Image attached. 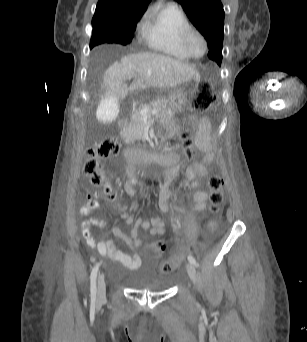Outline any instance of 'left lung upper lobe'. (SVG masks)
Segmentation results:
<instances>
[{
	"label": "left lung upper lobe",
	"mask_w": 307,
	"mask_h": 342,
	"mask_svg": "<svg viewBox=\"0 0 307 342\" xmlns=\"http://www.w3.org/2000/svg\"><path fill=\"white\" fill-rule=\"evenodd\" d=\"M193 25L205 37L208 57L219 66L222 62L224 10L220 0H177Z\"/></svg>",
	"instance_id": "left-lung-upper-lobe-1"
}]
</instances>
